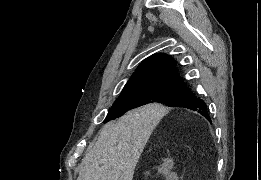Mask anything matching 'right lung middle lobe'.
<instances>
[{
    "label": "right lung middle lobe",
    "instance_id": "right-lung-middle-lobe-1",
    "mask_svg": "<svg viewBox=\"0 0 261 180\" xmlns=\"http://www.w3.org/2000/svg\"><path fill=\"white\" fill-rule=\"evenodd\" d=\"M193 96L183 81L158 82L148 85H140L124 88L109 110L104 122L122 116L129 109L142 105L158 102L167 106Z\"/></svg>",
    "mask_w": 261,
    "mask_h": 180
}]
</instances>
